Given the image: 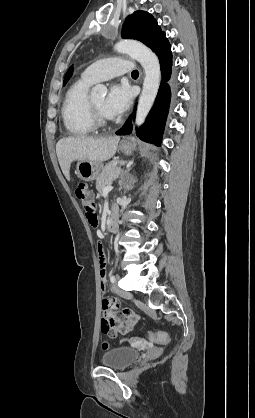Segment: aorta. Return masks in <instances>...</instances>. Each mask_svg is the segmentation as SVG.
<instances>
[{
    "label": "aorta",
    "instance_id": "aorta-1",
    "mask_svg": "<svg viewBox=\"0 0 255 418\" xmlns=\"http://www.w3.org/2000/svg\"><path fill=\"white\" fill-rule=\"evenodd\" d=\"M115 50L120 53L129 54L142 65L145 78L143 89L139 98L135 123L140 126L144 123L158 92L160 84V64L157 56L145 45L133 41L123 40L115 45ZM107 87L98 84L92 88L91 94L93 96H105L107 94Z\"/></svg>",
    "mask_w": 255,
    "mask_h": 418
}]
</instances>
